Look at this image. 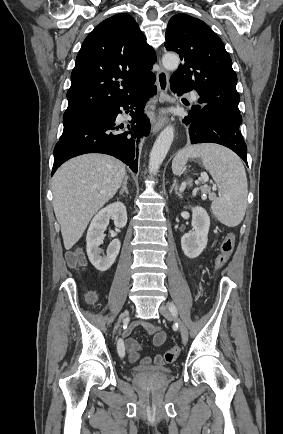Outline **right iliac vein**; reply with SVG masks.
<instances>
[{
  "label": "right iliac vein",
  "mask_w": 283,
  "mask_h": 434,
  "mask_svg": "<svg viewBox=\"0 0 283 434\" xmlns=\"http://www.w3.org/2000/svg\"><path fill=\"white\" fill-rule=\"evenodd\" d=\"M128 315H129L128 311H124V312L120 315V319H119L118 324H117L116 327H115V331L118 329V327H119V325H120V322H121L122 320H124L125 318H127Z\"/></svg>",
  "instance_id": "63e3f726"
}]
</instances>
